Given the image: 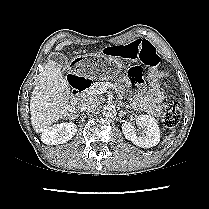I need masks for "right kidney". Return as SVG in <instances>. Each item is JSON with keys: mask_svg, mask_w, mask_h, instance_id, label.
Listing matches in <instances>:
<instances>
[{"mask_svg": "<svg viewBox=\"0 0 209 209\" xmlns=\"http://www.w3.org/2000/svg\"><path fill=\"white\" fill-rule=\"evenodd\" d=\"M74 123H60L45 129L41 134V140L47 145L63 144L71 140L76 134Z\"/></svg>", "mask_w": 209, "mask_h": 209, "instance_id": "right-kidney-1", "label": "right kidney"}]
</instances>
